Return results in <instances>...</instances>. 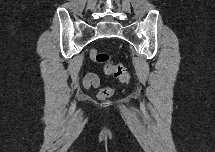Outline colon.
<instances>
[{
    "instance_id": "obj_1",
    "label": "colon",
    "mask_w": 215,
    "mask_h": 152,
    "mask_svg": "<svg viewBox=\"0 0 215 152\" xmlns=\"http://www.w3.org/2000/svg\"><path fill=\"white\" fill-rule=\"evenodd\" d=\"M90 57L98 64L103 65L104 71L107 74L112 75L113 77L119 79L123 83L129 82L130 75L126 68L124 67V65L114 64L111 60V56L108 53L99 52L96 49H91ZM113 93L114 89L112 87L106 86L99 90L98 98L104 100L111 97Z\"/></svg>"
}]
</instances>
